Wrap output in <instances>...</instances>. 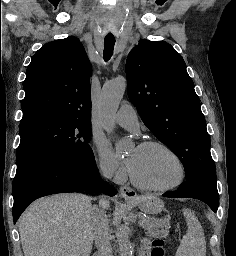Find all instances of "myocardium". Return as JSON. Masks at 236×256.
Instances as JSON below:
<instances>
[{
	"label": "myocardium",
	"instance_id": "1",
	"mask_svg": "<svg viewBox=\"0 0 236 256\" xmlns=\"http://www.w3.org/2000/svg\"><path fill=\"white\" fill-rule=\"evenodd\" d=\"M138 148L144 149V150L160 148V149L167 151L176 159L177 163L179 164L180 175L175 182H173L169 185L162 186V187H150V186H146V185L142 184L141 182H139L138 179L133 174V172L131 171L130 167H128V174H129L130 182L136 189L146 192V193L157 194V193H164V192H167L174 188H177L178 186H180L183 183V181L186 177V166H185V163H184L183 159L181 158V156L173 148H171L167 144L160 142V141H145V142L140 143L138 145Z\"/></svg>",
	"mask_w": 236,
	"mask_h": 256
}]
</instances>
